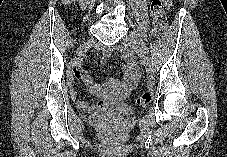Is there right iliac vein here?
<instances>
[{
	"label": "right iliac vein",
	"instance_id": "63e3f726",
	"mask_svg": "<svg viewBox=\"0 0 227 157\" xmlns=\"http://www.w3.org/2000/svg\"><path fill=\"white\" fill-rule=\"evenodd\" d=\"M93 43H94L93 40H90V41L86 42V43L79 49V52H82V50L89 48L90 46H92Z\"/></svg>",
	"mask_w": 227,
	"mask_h": 157
}]
</instances>
